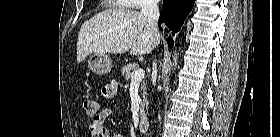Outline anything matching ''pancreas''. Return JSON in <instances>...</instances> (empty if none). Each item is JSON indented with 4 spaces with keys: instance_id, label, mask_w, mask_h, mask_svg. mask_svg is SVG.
<instances>
[{
    "instance_id": "cf45deb5",
    "label": "pancreas",
    "mask_w": 280,
    "mask_h": 137,
    "mask_svg": "<svg viewBox=\"0 0 280 137\" xmlns=\"http://www.w3.org/2000/svg\"><path fill=\"white\" fill-rule=\"evenodd\" d=\"M138 69V65L136 63H132V64H127L122 68V76L124 77V79L126 81H129L132 78L133 73ZM146 86L147 83L143 82V84L141 85L140 91L142 93L143 96V103L141 104L140 107V116L141 118H143L145 116V106L148 105V100L146 98L147 95V91H146Z\"/></svg>"
}]
</instances>
